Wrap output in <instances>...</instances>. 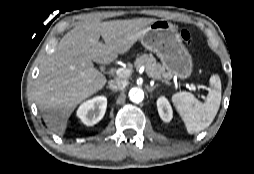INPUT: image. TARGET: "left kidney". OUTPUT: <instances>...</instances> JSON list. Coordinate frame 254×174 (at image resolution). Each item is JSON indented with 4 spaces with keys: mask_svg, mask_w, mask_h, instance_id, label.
Here are the masks:
<instances>
[{
    "mask_svg": "<svg viewBox=\"0 0 254 174\" xmlns=\"http://www.w3.org/2000/svg\"><path fill=\"white\" fill-rule=\"evenodd\" d=\"M157 109H158L160 118L164 122H170L172 120L173 111H172V107H171L169 101L167 100V98H165L164 96H161L158 98Z\"/></svg>",
    "mask_w": 254,
    "mask_h": 174,
    "instance_id": "1",
    "label": "left kidney"
}]
</instances>
